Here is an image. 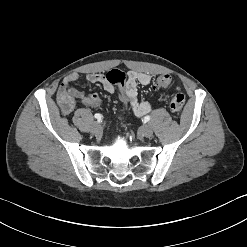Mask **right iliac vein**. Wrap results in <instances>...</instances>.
<instances>
[{
  "mask_svg": "<svg viewBox=\"0 0 247 247\" xmlns=\"http://www.w3.org/2000/svg\"><path fill=\"white\" fill-rule=\"evenodd\" d=\"M102 131V127L99 123L95 122L91 128V132L95 135L100 134Z\"/></svg>",
  "mask_w": 247,
  "mask_h": 247,
  "instance_id": "obj_1",
  "label": "right iliac vein"
}]
</instances>
